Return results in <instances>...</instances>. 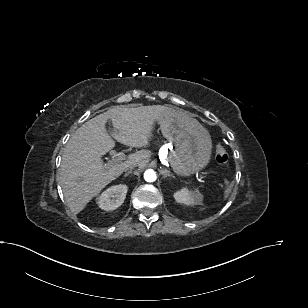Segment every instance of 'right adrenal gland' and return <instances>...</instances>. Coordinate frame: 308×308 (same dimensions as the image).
I'll return each instance as SVG.
<instances>
[{
  "label": "right adrenal gland",
  "mask_w": 308,
  "mask_h": 308,
  "mask_svg": "<svg viewBox=\"0 0 308 308\" xmlns=\"http://www.w3.org/2000/svg\"><path fill=\"white\" fill-rule=\"evenodd\" d=\"M132 173V171L130 170V171H128V172H126L125 174H124V177H127L129 174H131Z\"/></svg>",
  "instance_id": "1"
}]
</instances>
